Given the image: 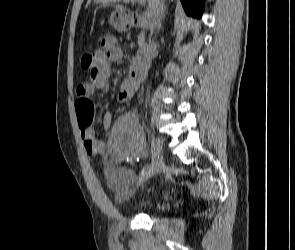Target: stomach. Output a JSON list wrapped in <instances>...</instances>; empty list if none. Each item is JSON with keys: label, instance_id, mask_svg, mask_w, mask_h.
<instances>
[{"label": "stomach", "instance_id": "1", "mask_svg": "<svg viewBox=\"0 0 295 250\" xmlns=\"http://www.w3.org/2000/svg\"><path fill=\"white\" fill-rule=\"evenodd\" d=\"M109 22L118 31H125L130 24L128 17L120 10L112 13Z\"/></svg>", "mask_w": 295, "mask_h": 250}]
</instances>
